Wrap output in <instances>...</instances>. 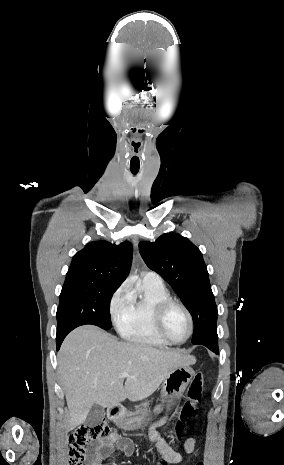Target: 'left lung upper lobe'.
Listing matches in <instances>:
<instances>
[{"label":"left lung upper lobe","mask_w":284,"mask_h":465,"mask_svg":"<svg viewBox=\"0 0 284 465\" xmlns=\"http://www.w3.org/2000/svg\"><path fill=\"white\" fill-rule=\"evenodd\" d=\"M139 251L146 265L172 286L191 313L192 343L217 339L218 311L200 250L189 239L166 233L155 242H140Z\"/></svg>","instance_id":"5c2ea615"}]
</instances>
